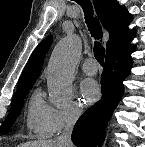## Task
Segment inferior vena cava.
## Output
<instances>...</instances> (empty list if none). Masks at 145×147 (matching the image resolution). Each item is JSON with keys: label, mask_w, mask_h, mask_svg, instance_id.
I'll list each match as a JSON object with an SVG mask.
<instances>
[{"label": "inferior vena cava", "mask_w": 145, "mask_h": 147, "mask_svg": "<svg viewBox=\"0 0 145 147\" xmlns=\"http://www.w3.org/2000/svg\"><path fill=\"white\" fill-rule=\"evenodd\" d=\"M79 111L75 110L68 118L66 126L62 132V134L58 137L57 142L61 147H73L71 141V134L73 127L79 118Z\"/></svg>", "instance_id": "inferior-vena-cava-1"}]
</instances>
